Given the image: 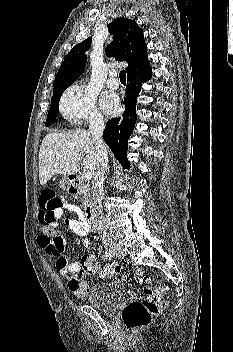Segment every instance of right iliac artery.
Returning <instances> with one entry per match:
<instances>
[{"label":"right iliac artery","instance_id":"right-iliac-artery-1","mask_svg":"<svg viewBox=\"0 0 233 352\" xmlns=\"http://www.w3.org/2000/svg\"><path fill=\"white\" fill-rule=\"evenodd\" d=\"M104 257L106 260H111L112 258V254L110 251H106L105 254H104Z\"/></svg>","mask_w":233,"mask_h":352}]
</instances>
